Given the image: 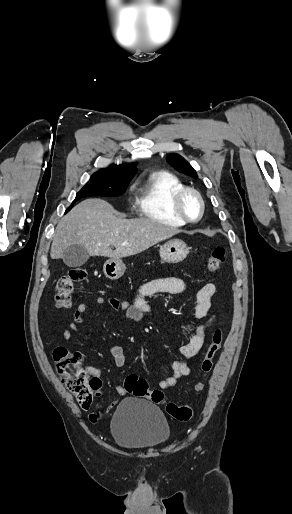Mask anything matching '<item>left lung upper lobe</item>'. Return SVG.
<instances>
[{"label": "left lung upper lobe", "mask_w": 292, "mask_h": 514, "mask_svg": "<svg viewBox=\"0 0 292 514\" xmlns=\"http://www.w3.org/2000/svg\"><path fill=\"white\" fill-rule=\"evenodd\" d=\"M167 162L173 166L176 170L197 179L198 175L196 171L190 166V164L180 155L171 154L166 158Z\"/></svg>", "instance_id": "1"}]
</instances>
